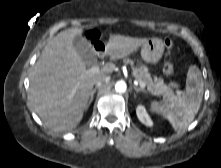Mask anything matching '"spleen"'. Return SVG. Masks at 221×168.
<instances>
[{
    "mask_svg": "<svg viewBox=\"0 0 221 168\" xmlns=\"http://www.w3.org/2000/svg\"><path fill=\"white\" fill-rule=\"evenodd\" d=\"M203 87L200 69L196 65H191L187 72L185 94L172 95L161 102L152 101L150 109L167 118L175 131H182L194 120L200 109Z\"/></svg>",
    "mask_w": 221,
    "mask_h": 168,
    "instance_id": "obj_1",
    "label": "spleen"
}]
</instances>
